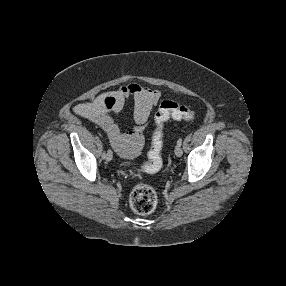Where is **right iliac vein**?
Wrapping results in <instances>:
<instances>
[{"mask_svg": "<svg viewBox=\"0 0 286 286\" xmlns=\"http://www.w3.org/2000/svg\"><path fill=\"white\" fill-rule=\"evenodd\" d=\"M112 157H113L112 151H111V150H108V151L106 152V161L110 162V161L112 160Z\"/></svg>", "mask_w": 286, "mask_h": 286, "instance_id": "obj_1", "label": "right iliac vein"}]
</instances>
